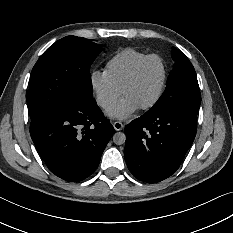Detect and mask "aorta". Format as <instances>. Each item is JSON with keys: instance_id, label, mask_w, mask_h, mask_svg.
<instances>
[{"instance_id": "1", "label": "aorta", "mask_w": 233, "mask_h": 233, "mask_svg": "<svg viewBox=\"0 0 233 233\" xmlns=\"http://www.w3.org/2000/svg\"><path fill=\"white\" fill-rule=\"evenodd\" d=\"M112 140L116 145H122L125 143L126 136L124 133L118 132L113 135Z\"/></svg>"}]
</instances>
